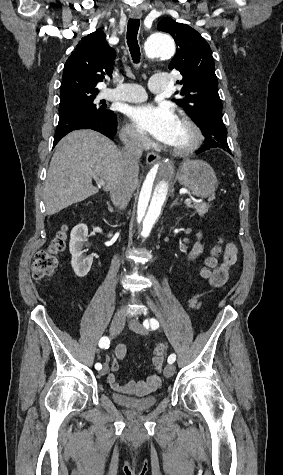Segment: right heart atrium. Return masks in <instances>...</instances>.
<instances>
[{
    "label": "right heart atrium",
    "mask_w": 283,
    "mask_h": 475,
    "mask_svg": "<svg viewBox=\"0 0 283 475\" xmlns=\"http://www.w3.org/2000/svg\"><path fill=\"white\" fill-rule=\"evenodd\" d=\"M119 132L125 150L133 152H142L148 148V139L138 133L130 124L125 123L120 128Z\"/></svg>",
    "instance_id": "d8ad5b80"
}]
</instances>
